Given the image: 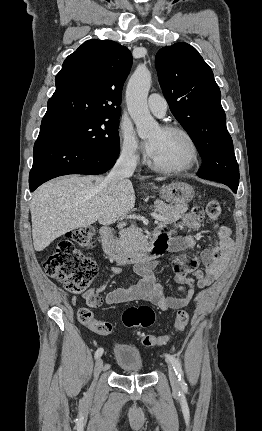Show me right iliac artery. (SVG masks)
Masks as SVG:
<instances>
[{
	"instance_id": "obj_1",
	"label": "right iliac artery",
	"mask_w": 262,
	"mask_h": 431,
	"mask_svg": "<svg viewBox=\"0 0 262 431\" xmlns=\"http://www.w3.org/2000/svg\"><path fill=\"white\" fill-rule=\"evenodd\" d=\"M102 354H103V349L102 348L97 349V351L95 352V358L101 357Z\"/></svg>"
}]
</instances>
